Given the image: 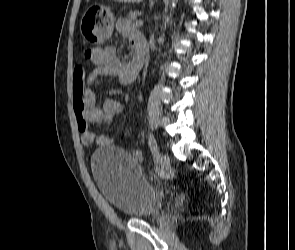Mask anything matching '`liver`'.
<instances>
[{
	"label": "liver",
	"instance_id": "6515ba94",
	"mask_svg": "<svg viewBox=\"0 0 295 250\" xmlns=\"http://www.w3.org/2000/svg\"><path fill=\"white\" fill-rule=\"evenodd\" d=\"M114 1H117V2H128V3H139L142 0H114Z\"/></svg>",
	"mask_w": 295,
	"mask_h": 250
}]
</instances>
